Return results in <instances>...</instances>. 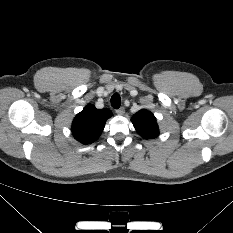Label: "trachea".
I'll use <instances>...</instances> for the list:
<instances>
[{"label":"trachea","instance_id":"trachea-1","mask_svg":"<svg viewBox=\"0 0 233 233\" xmlns=\"http://www.w3.org/2000/svg\"><path fill=\"white\" fill-rule=\"evenodd\" d=\"M111 105L113 108L115 109H119L121 106V98L119 96V94L115 93L112 95L111 97Z\"/></svg>","mask_w":233,"mask_h":233}]
</instances>
